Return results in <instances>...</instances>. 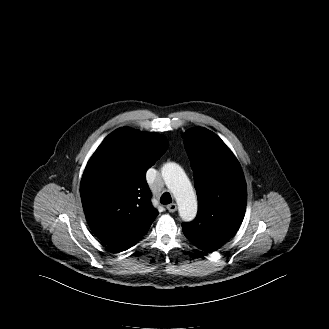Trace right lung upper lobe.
Instances as JSON below:
<instances>
[{
  "mask_svg": "<svg viewBox=\"0 0 329 329\" xmlns=\"http://www.w3.org/2000/svg\"><path fill=\"white\" fill-rule=\"evenodd\" d=\"M167 148L163 136L123 127L90 158L80 186L83 209L93 233L113 250L135 245L157 216L145 175Z\"/></svg>",
  "mask_w": 329,
  "mask_h": 329,
  "instance_id": "1",
  "label": "right lung upper lobe"
}]
</instances>
